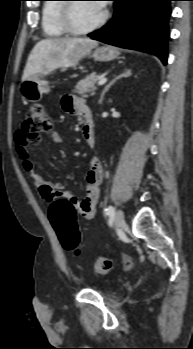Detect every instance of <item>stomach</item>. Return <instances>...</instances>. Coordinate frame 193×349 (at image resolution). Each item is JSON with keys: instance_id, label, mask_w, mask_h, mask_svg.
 <instances>
[{"instance_id": "obj_1", "label": "stomach", "mask_w": 193, "mask_h": 349, "mask_svg": "<svg viewBox=\"0 0 193 349\" xmlns=\"http://www.w3.org/2000/svg\"><path fill=\"white\" fill-rule=\"evenodd\" d=\"M120 55V51L112 46H102L97 48L92 57L101 62L112 61ZM47 74H37L30 76L20 84V93L24 100L32 103L39 102L43 95L50 91L49 82L46 80Z\"/></svg>"}]
</instances>
